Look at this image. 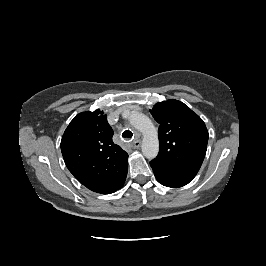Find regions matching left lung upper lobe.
I'll list each match as a JSON object with an SVG mask.
<instances>
[{"label": "left lung upper lobe", "instance_id": "obj_1", "mask_svg": "<svg viewBox=\"0 0 266 266\" xmlns=\"http://www.w3.org/2000/svg\"><path fill=\"white\" fill-rule=\"evenodd\" d=\"M160 124V150L150 162L158 181L181 187L198 173L209 134L203 120L178 100L159 102L150 110Z\"/></svg>", "mask_w": 266, "mask_h": 266}]
</instances>
